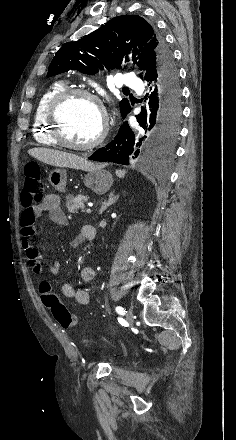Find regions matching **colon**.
<instances>
[{"label": "colon", "mask_w": 236, "mask_h": 440, "mask_svg": "<svg viewBox=\"0 0 236 440\" xmlns=\"http://www.w3.org/2000/svg\"><path fill=\"white\" fill-rule=\"evenodd\" d=\"M44 185L40 168L36 163H29L24 168V187L21 193V203L25 208L43 199ZM41 294L48 305L54 319L64 328L75 326L78 318L72 314L59 298L51 291L47 283H42Z\"/></svg>", "instance_id": "obj_1"}]
</instances>
